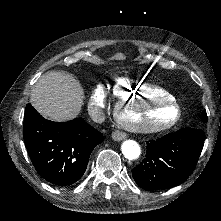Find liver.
Instances as JSON below:
<instances>
[{
    "label": "liver",
    "instance_id": "liver-1",
    "mask_svg": "<svg viewBox=\"0 0 221 221\" xmlns=\"http://www.w3.org/2000/svg\"><path fill=\"white\" fill-rule=\"evenodd\" d=\"M83 100L84 91L78 80L64 72L49 71L32 88L29 102L41 116L62 123L81 113Z\"/></svg>",
    "mask_w": 221,
    "mask_h": 221
}]
</instances>
